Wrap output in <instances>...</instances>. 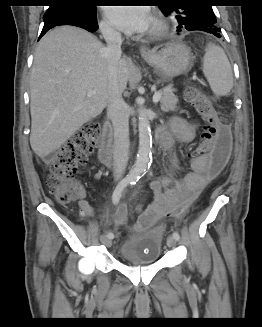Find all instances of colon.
<instances>
[{"label":"colon","mask_w":262,"mask_h":327,"mask_svg":"<svg viewBox=\"0 0 262 327\" xmlns=\"http://www.w3.org/2000/svg\"><path fill=\"white\" fill-rule=\"evenodd\" d=\"M185 98L204 120L201 137L196 144L192 156L204 155L208 161V173L211 177L220 174L229 159L231 151V135L229 129L217 119L216 111L207 96L196 87L185 91ZM100 137V125L89 122L78 130L58 151L50 162L47 184L56 200L70 203L81 194V188L73 177L85 163L87 155ZM190 202H184L172 208L167 217H180L188 209ZM127 210L121 206L117 210L116 221L123 225Z\"/></svg>","instance_id":"1"}]
</instances>
